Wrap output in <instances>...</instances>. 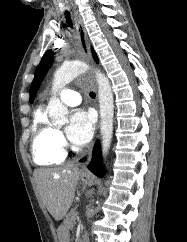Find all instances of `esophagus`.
I'll return each mask as SVG.
<instances>
[{
	"label": "esophagus",
	"mask_w": 187,
	"mask_h": 242,
	"mask_svg": "<svg viewBox=\"0 0 187 242\" xmlns=\"http://www.w3.org/2000/svg\"><path fill=\"white\" fill-rule=\"evenodd\" d=\"M74 20L78 31V41H79V46L83 54V57L87 62H90L91 64H93L87 32H86L82 17L80 16L79 13L77 12L74 13ZM82 172H87V168L84 167L82 169Z\"/></svg>",
	"instance_id": "obj_1"
}]
</instances>
